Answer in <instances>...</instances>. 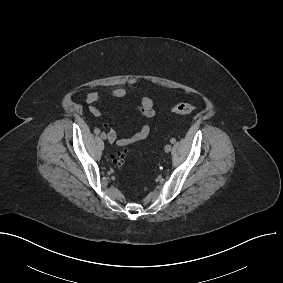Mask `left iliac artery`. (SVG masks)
<instances>
[{"mask_svg":"<svg viewBox=\"0 0 283 283\" xmlns=\"http://www.w3.org/2000/svg\"><path fill=\"white\" fill-rule=\"evenodd\" d=\"M170 142H171L172 144L175 143V142H176L175 138H172V139L170 140Z\"/></svg>","mask_w":283,"mask_h":283,"instance_id":"1","label":"left iliac artery"}]
</instances>
